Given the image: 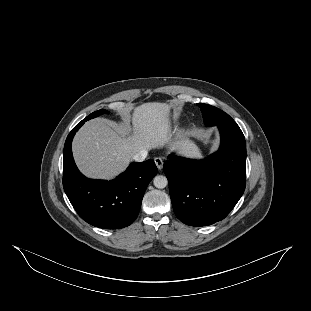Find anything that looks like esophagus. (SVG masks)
Instances as JSON below:
<instances>
[{"label": "esophagus", "mask_w": 311, "mask_h": 311, "mask_svg": "<svg viewBox=\"0 0 311 311\" xmlns=\"http://www.w3.org/2000/svg\"><path fill=\"white\" fill-rule=\"evenodd\" d=\"M154 162L156 164V167L158 168V170H161L163 168V160L160 157H155L154 158Z\"/></svg>", "instance_id": "obj_1"}]
</instances>
